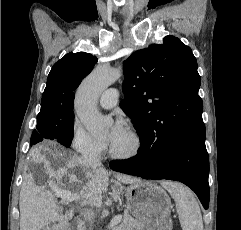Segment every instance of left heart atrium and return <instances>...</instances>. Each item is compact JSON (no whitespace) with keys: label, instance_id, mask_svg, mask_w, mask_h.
<instances>
[{"label":"left heart atrium","instance_id":"left-heart-atrium-1","mask_svg":"<svg viewBox=\"0 0 241 230\" xmlns=\"http://www.w3.org/2000/svg\"><path fill=\"white\" fill-rule=\"evenodd\" d=\"M126 130L125 122L122 119H118L109 133L108 143L110 147L122 137Z\"/></svg>","mask_w":241,"mask_h":230}]
</instances>
